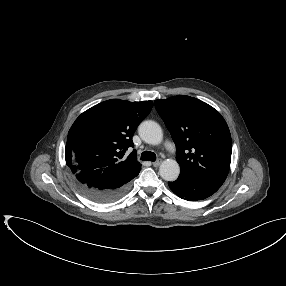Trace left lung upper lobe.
I'll return each instance as SVG.
<instances>
[{"label": "left lung upper lobe", "mask_w": 286, "mask_h": 286, "mask_svg": "<svg viewBox=\"0 0 286 286\" xmlns=\"http://www.w3.org/2000/svg\"><path fill=\"white\" fill-rule=\"evenodd\" d=\"M155 107L176 144L180 174L220 187L232 153L230 131L221 114L184 95L155 100Z\"/></svg>", "instance_id": "1"}]
</instances>
